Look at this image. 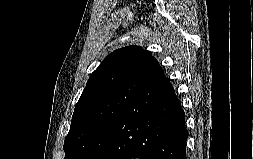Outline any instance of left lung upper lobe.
Returning <instances> with one entry per match:
<instances>
[{"label":"left lung upper lobe","instance_id":"left-lung-upper-lobe-1","mask_svg":"<svg viewBox=\"0 0 253 159\" xmlns=\"http://www.w3.org/2000/svg\"><path fill=\"white\" fill-rule=\"evenodd\" d=\"M162 74L158 61L140 46L109 54L75 106L64 159H93L121 111Z\"/></svg>","mask_w":253,"mask_h":159}]
</instances>
